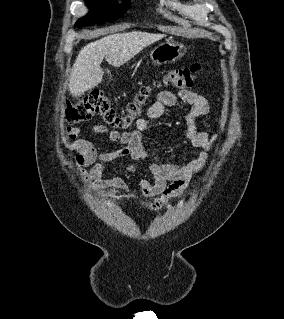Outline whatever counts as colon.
I'll use <instances>...</instances> for the list:
<instances>
[{
  "instance_id": "colon-1",
  "label": "colon",
  "mask_w": 284,
  "mask_h": 319,
  "mask_svg": "<svg viewBox=\"0 0 284 319\" xmlns=\"http://www.w3.org/2000/svg\"><path fill=\"white\" fill-rule=\"evenodd\" d=\"M201 69L200 64L189 67L176 68L168 71L164 76V82L179 89L193 87L197 74ZM152 89L142 87L134 100L128 105L126 114H119L107 95L100 90H94L81 99L76 105L70 106L65 111V120L70 125H77L90 120L94 116H100L103 121L113 128L127 130L132 127L137 115L149 103Z\"/></svg>"
}]
</instances>
